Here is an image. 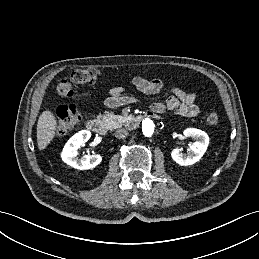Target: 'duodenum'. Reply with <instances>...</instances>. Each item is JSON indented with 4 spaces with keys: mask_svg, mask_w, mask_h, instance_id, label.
<instances>
[{
    "mask_svg": "<svg viewBox=\"0 0 259 259\" xmlns=\"http://www.w3.org/2000/svg\"><path fill=\"white\" fill-rule=\"evenodd\" d=\"M145 115H138L131 119L130 121V128H135L139 126V124L144 120ZM87 127L90 131L98 134V135H105L107 133V126L106 123L99 118H92L88 121Z\"/></svg>",
    "mask_w": 259,
    "mask_h": 259,
    "instance_id": "1",
    "label": "duodenum"
}]
</instances>
